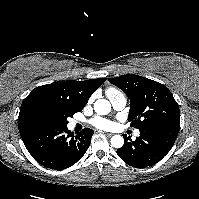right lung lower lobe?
<instances>
[{
  "instance_id": "obj_1",
  "label": "right lung lower lobe",
  "mask_w": 199,
  "mask_h": 199,
  "mask_svg": "<svg viewBox=\"0 0 199 199\" xmlns=\"http://www.w3.org/2000/svg\"><path fill=\"white\" fill-rule=\"evenodd\" d=\"M32 157L50 169H65L79 161L87 151L94 131L85 128L74 134L62 127L19 129Z\"/></svg>"
}]
</instances>
